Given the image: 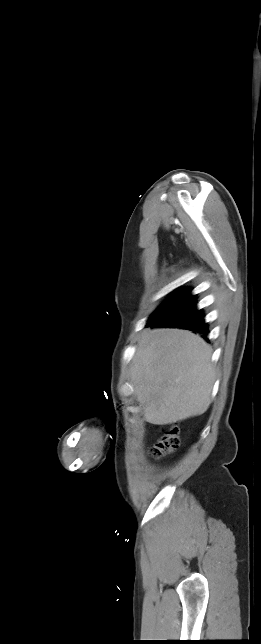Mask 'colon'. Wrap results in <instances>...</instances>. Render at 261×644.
Returning a JSON list of instances; mask_svg holds the SVG:
<instances>
[{
	"instance_id": "5ec220e1",
	"label": "colon",
	"mask_w": 261,
	"mask_h": 644,
	"mask_svg": "<svg viewBox=\"0 0 261 644\" xmlns=\"http://www.w3.org/2000/svg\"><path fill=\"white\" fill-rule=\"evenodd\" d=\"M179 443V429L176 425H171L163 431L161 437L152 447L151 455L155 458L164 457L174 452L178 448Z\"/></svg>"
}]
</instances>
